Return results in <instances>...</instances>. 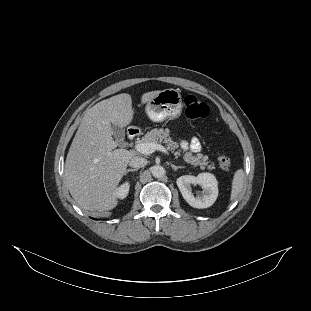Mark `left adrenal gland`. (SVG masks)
<instances>
[{
  "label": "left adrenal gland",
  "mask_w": 311,
  "mask_h": 311,
  "mask_svg": "<svg viewBox=\"0 0 311 311\" xmlns=\"http://www.w3.org/2000/svg\"><path fill=\"white\" fill-rule=\"evenodd\" d=\"M170 165H171V167L173 168L174 171H177V169H182V168H184V167H181V166H176V165H174V164H170Z\"/></svg>",
  "instance_id": "1"
}]
</instances>
